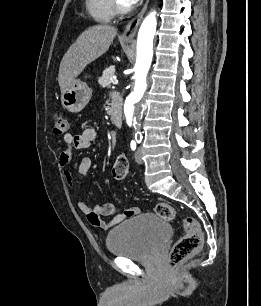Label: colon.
Here are the masks:
<instances>
[{
  "label": "colon",
  "instance_id": "obj_1",
  "mask_svg": "<svg viewBox=\"0 0 261 306\" xmlns=\"http://www.w3.org/2000/svg\"><path fill=\"white\" fill-rule=\"evenodd\" d=\"M53 131L57 135L64 134L68 129V123L64 115L59 111L51 113ZM129 173V163L125 157H119L112 167V177L116 181L123 180ZM156 213L168 222L178 219L176 209L168 203H159L156 206ZM184 235L173 245L169 256V267H175L183 260L198 251L203 242V234L199 223L192 217H186L182 220Z\"/></svg>",
  "mask_w": 261,
  "mask_h": 306
}]
</instances>
